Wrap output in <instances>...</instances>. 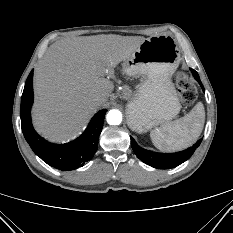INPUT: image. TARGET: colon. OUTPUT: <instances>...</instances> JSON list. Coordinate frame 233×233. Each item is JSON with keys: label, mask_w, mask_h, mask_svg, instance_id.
<instances>
[{"label": "colon", "mask_w": 233, "mask_h": 233, "mask_svg": "<svg viewBox=\"0 0 233 233\" xmlns=\"http://www.w3.org/2000/svg\"><path fill=\"white\" fill-rule=\"evenodd\" d=\"M175 82L179 90L181 101L184 105H191L196 99V90L188 80L184 72H178L175 76Z\"/></svg>", "instance_id": "colon-1"}]
</instances>
